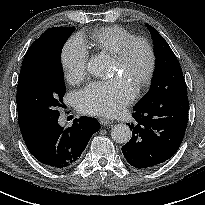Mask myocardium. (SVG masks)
<instances>
[{
    "instance_id": "1",
    "label": "myocardium",
    "mask_w": 205,
    "mask_h": 205,
    "mask_svg": "<svg viewBox=\"0 0 205 205\" xmlns=\"http://www.w3.org/2000/svg\"><path fill=\"white\" fill-rule=\"evenodd\" d=\"M138 45L144 47L148 56L146 70L141 78L137 81V86L139 88H143L151 81L156 68V54L151 42L144 37H133L122 46L119 52L114 55V58L118 64L124 65L128 61L133 49Z\"/></svg>"
}]
</instances>
